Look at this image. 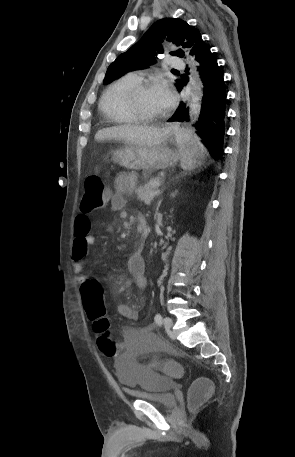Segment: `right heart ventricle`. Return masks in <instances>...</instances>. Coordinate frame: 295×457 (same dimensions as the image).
Returning <instances> with one entry per match:
<instances>
[{"mask_svg": "<svg viewBox=\"0 0 295 457\" xmlns=\"http://www.w3.org/2000/svg\"><path fill=\"white\" fill-rule=\"evenodd\" d=\"M139 79L133 75H126L112 82L102 94L100 110L106 118L118 124H136L139 122L133 116L126 104V93Z\"/></svg>", "mask_w": 295, "mask_h": 457, "instance_id": "1", "label": "right heart ventricle"}]
</instances>
